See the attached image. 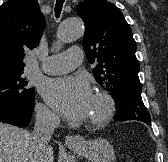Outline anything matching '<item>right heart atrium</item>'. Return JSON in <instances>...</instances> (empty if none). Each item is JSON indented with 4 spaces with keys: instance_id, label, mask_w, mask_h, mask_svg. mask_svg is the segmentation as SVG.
I'll list each match as a JSON object with an SVG mask.
<instances>
[{
    "instance_id": "1",
    "label": "right heart atrium",
    "mask_w": 168,
    "mask_h": 162,
    "mask_svg": "<svg viewBox=\"0 0 168 162\" xmlns=\"http://www.w3.org/2000/svg\"><path fill=\"white\" fill-rule=\"evenodd\" d=\"M36 114L38 119L44 124L53 125L57 121L56 115L43 104L36 106Z\"/></svg>"
}]
</instances>
